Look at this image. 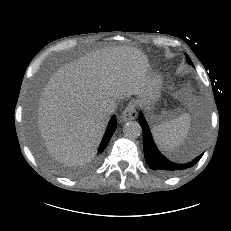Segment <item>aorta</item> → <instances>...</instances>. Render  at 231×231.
<instances>
[{"label":"aorta","mask_w":231,"mask_h":231,"mask_svg":"<svg viewBox=\"0 0 231 231\" xmlns=\"http://www.w3.org/2000/svg\"><path fill=\"white\" fill-rule=\"evenodd\" d=\"M124 135L129 139H135L142 133L141 125L136 121H129L123 127Z\"/></svg>","instance_id":"1"}]
</instances>
